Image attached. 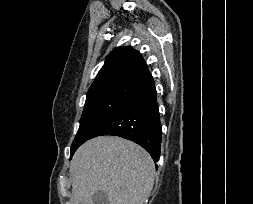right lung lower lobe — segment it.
Segmentation results:
<instances>
[{
    "label": "right lung lower lobe",
    "mask_w": 253,
    "mask_h": 204,
    "mask_svg": "<svg viewBox=\"0 0 253 204\" xmlns=\"http://www.w3.org/2000/svg\"><path fill=\"white\" fill-rule=\"evenodd\" d=\"M101 135L131 140L146 149L154 162L159 160L162 132L157 92L151 74L138 83L90 139Z\"/></svg>",
    "instance_id": "1"
}]
</instances>
